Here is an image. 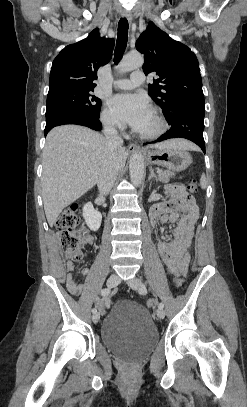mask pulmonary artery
I'll list each match as a JSON object with an SVG mask.
<instances>
[{"label": "pulmonary artery", "mask_w": 247, "mask_h": 407, "mask_svg": "<svg viewBox=\"0 0 247 407\" xmlns=\"http://www.w3.org/2000/svg\"><path fill=\"white\" fill-rule=\"evenodd\" d=\"M145 80L144 73L142 71H136L131 74L130 78L118 79L114 81V86L119 89H133Z\"/></svg>", "instance_id": "pulmonary-artery-1"}]
</instances>
